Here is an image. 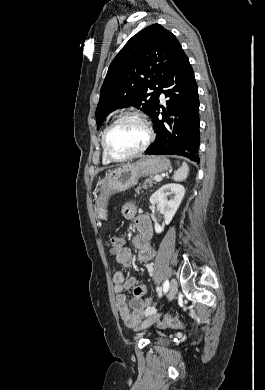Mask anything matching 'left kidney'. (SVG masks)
Masks as SVG:
<instances>
[{
    "label": "left kidney",
    "instance_id": "5707ae66",
    "mask_svg": "<svg viewBox=\"0 0 265 390\" xmlns=\"http://www.w3.org/2000/svg\"><path fill=\"white\" fill-rule=\"evenodd\" d=\"M185 194V188L181 184H166L158 189L150 197V203L158 204V211L165 218V225L170 224ZM170 196V199L167 196ZM155 232L161 233L164 225L160 226L156 221L154 224Z\"/></svg>",
    "mask_w": 265,
    "mask_h": 390
}]
</instances>
